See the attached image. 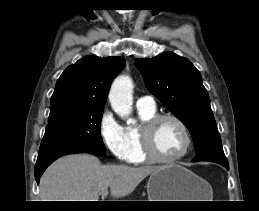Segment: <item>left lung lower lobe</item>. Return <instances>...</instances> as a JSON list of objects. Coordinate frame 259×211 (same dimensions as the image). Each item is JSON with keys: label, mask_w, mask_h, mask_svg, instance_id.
<instances>
[{"label": "left lung lower lobe", "mask_w": 259, "mask_h": 211, "mask_svg": "<svg viewBox=\"0 0 259 211\" xmlns=\"http://www.w3.org/2000/svg\"><path fill=\"white\" fill-rule=\"evenodd\" d=\"M222 165H223L224 167H226L227 169H229L228 163H223Z\"/></svg>", "instance_id": "obj_1"}]
</instances>
